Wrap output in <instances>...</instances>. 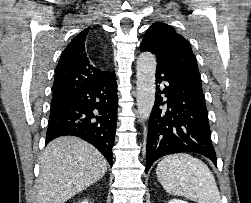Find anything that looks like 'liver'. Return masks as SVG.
Here are the masks:
<instances>
[{
  "mask_svg": "<svg viewBox=\"0 0 251 203\" xmlns=\"http://www.w3.org/2000/svg\"><path fill=\"white\" fill-rule=\"evenodd\" d=\"M107 161L92 145L77 137L51 141L44 150L38 179V203H65L100 180Z\"/></svg>",
  "mask_w": 251,
  "mask_h": 203,
  "instance_id": "1",
  "label": "liver"
}]
</instances>
